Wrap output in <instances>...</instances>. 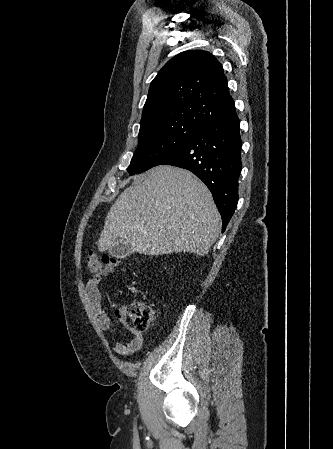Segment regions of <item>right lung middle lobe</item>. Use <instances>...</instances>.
<instances>
[{
	"instance_id": "1",
	"label": "right lung middle lobe",
	"mask_w": 333,
	"mask_h": 449,
	"mask_svg": "<svg viewBox=\"0 0 333 449\" xmlns=\"http://www.w3.org/2000/svg\"><path fill=\"white\" fill-rule=\"evenodd\" d=\"M202 127L192 123H171L140 133L138 147L128 172L142 173L158 164L166 155L193 136Z\"/></svg>"
}]
</instances>
